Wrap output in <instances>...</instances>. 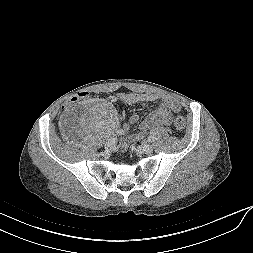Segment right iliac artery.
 Segmentation results:
<instances>
[{
    "label": "right iliac artery",
    "mask_w": 253,
    "mask_h": 253,
    "mask_svg": "<svg viewBox=\"0 0 253 253\" xmlns=\"http://www.w3.org/2000/svg\"><path fill=\"white\" fill-rule=\"evenodd\" d=\"M115 133H116L117 135H123V134H124V131H123L122 129H116V130H115Z\"/></svg>",
    "instance_id": "obj_1"
}]
</instances>
